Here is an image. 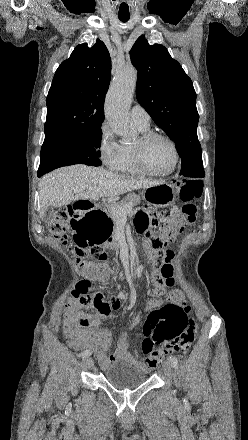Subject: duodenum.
Returning <instances> with one entry per match:
<instances>
[{"mask_svg": "<svg viewBox=\"0 0 248 440\" xmlns=\"http://www.w3.org/2000/svg\"><path fill=\"white\" fill-rule=\"evenodd\" d=\"M75 206L82 209H90L93 207L92 202L89 200H79L75 203Z\"/></svg>", "mask_w": 248, "mask_h": 440, "instance_id": "1", "label": "duodenum"}]
</instances>
